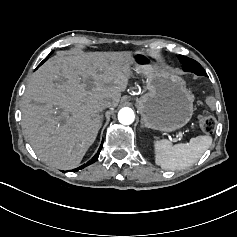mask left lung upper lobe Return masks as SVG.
Wrapping results in <instances>:
<instances>
[{
    "label": "left lung upper lobe",
    "instance_id": "obj_1",
    "mask_svg": "<svg viewBox=\"0 0 237 237\" xmlns=\"http://www.w3.org/2000/svg\"><path fill=\"white\" fill-rule=\"evenodd\" d=\"M179 59L181 63L183 64L184 71L195 73L198 76L208 77L205 70L197 61L183 55H179Z\"/></svg>",
    "mask_w": 237,
    "mask_h": 237
}]
</instances>
